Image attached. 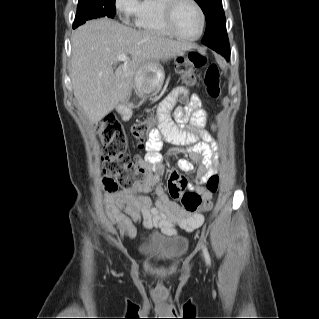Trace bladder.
Listing matches in <instances>:
<instances>
[{
	"mask_svg": "<svg viewBox=\"0 0 319 319\" xmlns=\"http://www.w3.org/2000/svg\"><path fill=\"white\" fill-rule=\"evenodd\" d=\"M188 247L184 236L150 235L138 247V253L152 265H168L178 261Z\"/></svg>",
	"mask_w": 319,
	"mask_h": 319,
	"instance_id": "bladder-1",
	"label": "bladder"
}]
</instances>
